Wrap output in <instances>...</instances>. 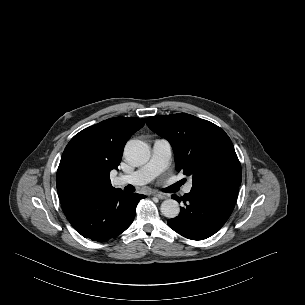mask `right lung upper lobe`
Segmentation results:
<instances>
[{
	"label": "right lung upper lobe",
	"instance_id": "right-lung-upper-lobe-1",
	"mask_svg": "<svg viewBox=\"0 0 305 305\" xmlns=\"http://www.w3.org/2000/svg\"><path fill=\"white\" fill-rule=\"evenodd\" d=\"M144 124L145 119L116 117L76 134L66 146L57 170L61 204L116 190L110 183L109 173L117 169L127 140Z\"/></svg>",
	"mask_w": 305,
	"mask_h": 305
}]
</instances>
